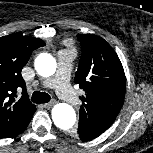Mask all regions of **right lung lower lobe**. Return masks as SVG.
Listing matches in <instances>:
<instances>
[{
	"label": "right lung lower lobe",
	"mask_w": 153,
	"mask_h": 153,
	"mask_svg": "<svg viewBox=\"0 0 153 153\" xmlns=\"http://www.w3.org/2000/svg\"><path fill=\"white\" fill-rule=\"evenodd\" d=\"M31 118H32V116H31L28 120H26V121L18 128V130H16L13 134H11V135L8 136V137H14V136H16V135L22 133V132L27 128V126H28V124H29ZM5 138H7V137H5Z\"/></svg>",
	"instance_id": "right-lung-lower-lobe-1"
}]
</instances>
